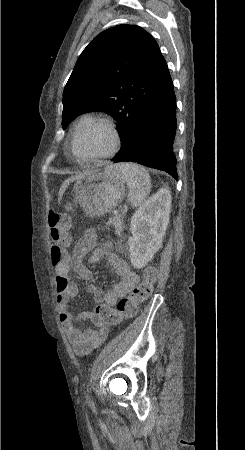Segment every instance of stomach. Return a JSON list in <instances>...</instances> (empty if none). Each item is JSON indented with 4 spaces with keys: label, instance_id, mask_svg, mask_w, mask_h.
<instances>
[{
    "label": "stomach",
    "instance_id": "0dacf381",
    "mask_svg": "<svg viewBox=\"0 0 245 450\" xmlns=\"http://www.w3.org/2000/svg\"><path fill=\"white\" fill-rule=\"evenodd\" d=\"M124 180L114 166L105 171H93L78 178L73 186V196L90 218L101 217L114 210L125 196Z\"/></svg>",
    "mask_w": 245,
    "mask_h": 450
}]
</instances>
